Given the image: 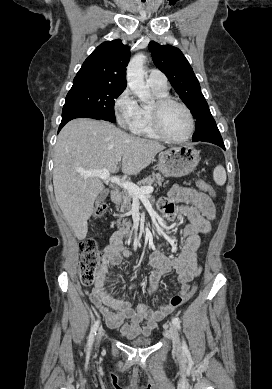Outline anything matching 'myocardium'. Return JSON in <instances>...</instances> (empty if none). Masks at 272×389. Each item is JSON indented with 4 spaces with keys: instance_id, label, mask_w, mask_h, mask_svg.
<instances>
[{
    "instance_id": "myocardium-1",
    "label": "myocardium",
    "mask_w": 272,
    "mask_h": 389,
    "mask_svg": "<svg viewBox=\"0 0 272 389\" xmlns=\"http://www.w3.org/2000/svg\"><path fill=\"white\" fill-rule=\"evenodd\" d=\"M169 105H177L180 106L187 114L188 120H189V130L183 137L180 138H173L170 137L165 133V131L162 128L161 123V115L163 110L168 107ZM150 117H151V123L154 132L159 136V138L171 142V143H182L187 140H189L195 131V120L193 117V114L190 110V108L183 102L171 98V97H164L157 99L153 106L150 108Z\"/></svg>"
}]
</instances>
